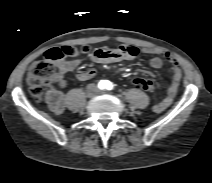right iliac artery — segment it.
<instances>
[{
    "label": "right iliac artery",
    "instance_id": "obj_1",
    "mask_svg": "<svg viewBox=\"0 0 212 183\" xmlns=\"http://www.w3.org/2000/svg\"><path fill=\"white\" fill-rule=\"evenodd\" d=\"M99 88L104 89L105 88V81H100L99 82Z\"/></svg>",
    "mask_w": 212,
    "mask_h": 183
}]
</instances>
